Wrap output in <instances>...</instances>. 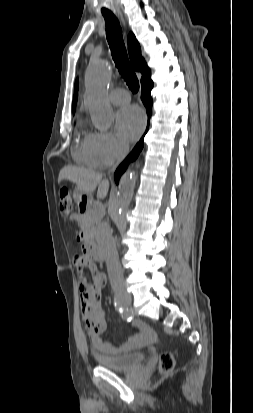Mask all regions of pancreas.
I'll use <instances>...</instances> for the list:
<instances>
[{"label":"pancreas","instance_id":"1","mask_svg":"<svg viewBox=\"0 0 253 413\" xmlns=\"http://www.w3.org/2000/svg\"><path fill=\"white\" fill-rule=\"evenodd\" d=\"M103 218V211L97 206L89 208L79 219V227L85 235L87 242H92L97 231V226Z\"/></svg>","mask_w":253,"mask_h":413}]
</instances>
